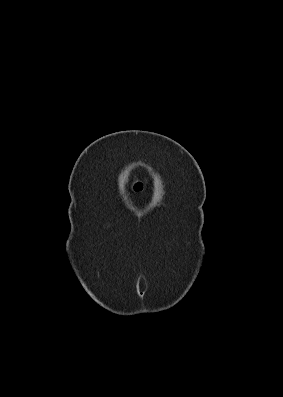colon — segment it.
Here are the masks:
<instances>
[{
	"label": "colon",
	"instance_id": "obj_1",
	"mask_svg": "<svg viewBox=\"0 0 283 397\" xmlns=\"http://www.w3.org/2000/svg\"><path fill=\"white\" fill-rule=\"evenodd\" d=\"M142 186H143L142 181H141V180H137V181L133 184L132 187H133L134 190H139V189L142 188Z\"/></svg>",
	"mask_w": 283,
	"mask_h": 397
}]
</instances>
